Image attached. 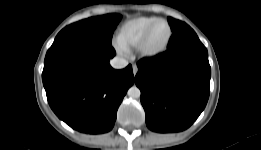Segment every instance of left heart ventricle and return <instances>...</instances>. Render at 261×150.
Instances as JSON below:
<instances>
[{"label":"left heart ventricle","mask_w":261,"mask_h":150,"mask_svg":"<svg viewBox=\"0 0 261 150\" xmlns=\"http://www.w3.org/2000/svg\"><path fill=\"white\" fill-rule=\"evenodd\" d=\"M169 29L165 23H158L152 30L149 40H148V48L150 50H157L161 48L167 37H168Z\"/></svg>","instance_id":"left-heart-ventricle-1"}]
</instances>
